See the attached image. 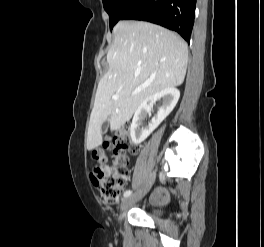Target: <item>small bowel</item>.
<instances>
[{"label": "small bowel", "mask_w": 264, "mask_h": 247, "mask_svg": "<svg viewBox=\"0 0 264 247\" xmlns=\"http://www.w3.org/2000/svg\"><path fill=\"white\" fill-rule=\"evenodd\" d=\"M168 194L163 190H158L152 195V200L154 201H166Z\"/></svg>", "instance_id": "small-bowel-1"}]
</instances>
